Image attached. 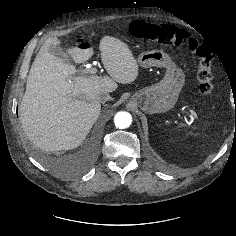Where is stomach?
I'll return each mask as SVG.
<instances>
[{"instance_id":"stomach-1","label":"stomach","mask_w":236,"mask_h":236,"mask_svg":"<svg viewBox=\"0 0 236 236\" xmlns=\"http://www.w3.org/2000/svg\"><path fill=\"white\" fill-rule=\"evenodd\" d=\"M144 67H163L166 69L163 79L133 94L131 102L146 113L167 112L176 104L185 82V74L163 50L143 52L138 57Z\"/></svg>"}]
</instances>
